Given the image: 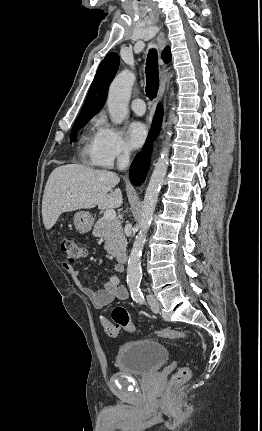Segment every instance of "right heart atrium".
I'll list each match as a JSON object with an SVG mask.
<instances>
[{
	"label": "right heart atrium",
	"mask_w": 262,
	"mask_h": 431,
	"mask_svg": "<svg viewBox=\"0 0 262 431\" xmlns=\"http://www.w3.org/2000/svg\"><path fill=\"white\" fill-rule=\"evenodd\" d=\"M95 153L97 164L102 166H111L116 160L130 156V149L119 130L103 118L98 121Z\"/></svg>",
	"instance_id": "1"
}]
</instances>
